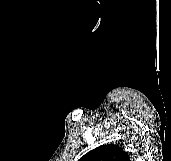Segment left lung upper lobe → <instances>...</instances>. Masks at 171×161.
I'll list each match as a JSON object with an SVG mask.
<instances>
[{
  "instance_id": "left-lung-upper-lobe-1",
  "label": "left lung upper lobe",
  "mask_w": 171,
  "mask_h": 161,
  "mask_svg": "<svg viewBox=\"0 0 171 161\" xmlns=\"http://www.w3.org/2000/svg\"><path fill=\"white\" fill-rule=\"evenodd\" d=\"M79 161H130V158L123 148L107 144L89 151Z\"/></svg>"
}]
</instances>
